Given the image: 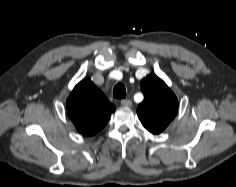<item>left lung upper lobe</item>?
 Returning <instances> with one entry per match:
<instances>
[{
	"instance_id": "1",
	"label": "left lung upper lobe",
	"mask_w": 236,
	"mask_h": 187,
	"mask_svg": "<svg viewBox=\"0 0 236 187\" xmlns=\"http://www.w3.org/2000/svg\"><path fill=\"white\" fill-rule=\"evenodd\" d=\"M144 100L137 108L143 126L153 134L161 133L175 118L178 101L174 93L156 75H148L141 81Z\"/></svg>"
}]
</instances>
